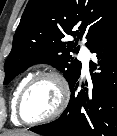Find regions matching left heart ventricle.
Instances as JSON below:
<instances>
[{"mask_svg": "<svg viewBox=\"0 0 117 136\" xmlns=\"http://www.w3.org/2000/svg\"><path fill=\"white\" fill-rule=\"evenodd\" d=\"M58 86L52 79L37 82L25 95L21 113L25 120H37L50 115L59 103Z\"/></svg>", "mask_w": 117, "mask_h": 136, "instance_id": "b2bd125f", "label": "left heart ventricle"}]
</instances>
